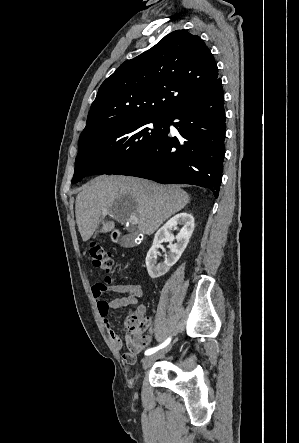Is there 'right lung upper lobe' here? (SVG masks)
<instances>
[{
	"mask_svg": "<svg viewBox=\"0 0 299 443\" xmlns=\"http://www.w3.org/2000/svg\"><path fill=\"white\" fill-rule=\"evenodd\" d=\"M217 78L216 62L203 40L186 30L171 32L102 83L80 138L130 119L165 117Z\"/></svg>",
	"mask_w": 299,
	"mask_h": 443,
	"instance_id": "obj_1",
	"label": "right lung upper lobe"
}]
</instances>
